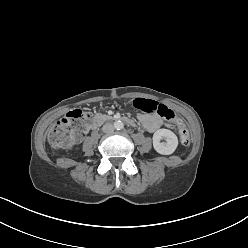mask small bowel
Wrapping results in <instances>:
<instances>
[{
  "mask_svg": "<svg viewBox=\"0 0 248 248\" xmlns=\"http://www.w3.org/2000/svg\"><path fill=\"white\" fill-rule=\"evenodd\" d=\"M138 119L148 132H155L164 124L157 114L141 113L138 115ZM165 125L167 127H172L171 124Z\"/></svg>",
  "mask_w": 248,
  "mask_h": 248,
  "instance_id": "obj_1",
  "label": "small bowel"
}]
</instances>
